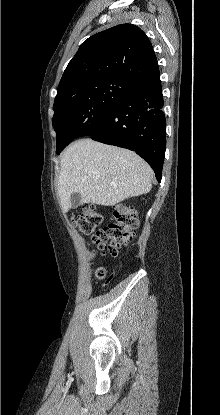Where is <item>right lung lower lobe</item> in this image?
I'll return each instance as SVG.
<instances>
[{
	"mask_svg": "<svg viewBox=\"0 0 220 415\" xmlns=\"http://www.w3.org/2000/svg\"><path fill=\"white\" fill-rule=\"evenodd\" d=\"M162 107L158 73L134 85L132 91L109 110L101 127L90 137L135 151L152 167L160 182L166 149V120Z\"/></svg>",
	"mask_w": 220,
	"mask_h": 415,
	"instance_id": "right-lung-lower-lobe-1",
	"label": "right lung lower lobe"
}]
</instances>
